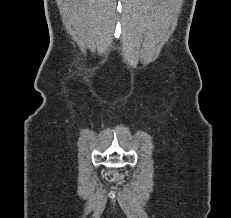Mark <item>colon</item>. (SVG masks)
I'll return each mask as SVG.
<instances>
[{"label":"colon","instance_id":"5ec220e1","mask_svg":"<svg viewBox=\"0 0 231 218\" xmlns=\"http://www.w3.org/2000/svg\"><path fill=\"white\" fill-rule=\"evenodd\" d=\"M118 174H116L115 172H112V171H108L106 174H105V178L108 180V181H114L118 178Z\"/></svg>","mask_w":231,"mask_h":218}]
</instances>
